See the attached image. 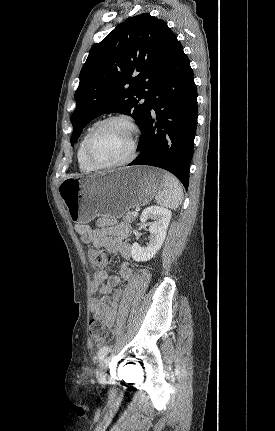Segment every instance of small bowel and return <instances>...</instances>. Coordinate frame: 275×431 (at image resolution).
<instances>
[{"instance_id":"small-bowel-1","label":"small bowel","mask_w":275,"mask_h":431,"mask_svg":"<svg viewBox=\"0 0 275 431\" xmlns=\"http://www.w3.org/2000/svg\"><path fill=\"white\" fill-rule=\"evenodd\" d=\"M76 232L86 244L96 248H105L112 253H119L125 260L131 257V246L125 242L130 234V227L126 223H113L108 220L100 221L96 227L88 224H77ZM134 273L127 261L123 262L119 275L108 276L105 272H97L91 283V292L99 294L91 300L90 310L94 319L103 322L108 329H112L121 311V300L125 295L122 289H115L121 279L132 281Z\"/></svg>"}]
</instances>
